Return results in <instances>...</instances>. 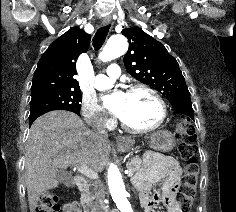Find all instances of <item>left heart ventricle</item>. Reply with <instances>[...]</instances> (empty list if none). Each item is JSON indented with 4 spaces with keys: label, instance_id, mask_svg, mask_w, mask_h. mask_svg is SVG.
<instances>
[{
    "label": "left heart ventricle",
    "instance_id": "1",
    "mask_svg": "<svg viewBox=\"0 0 236 212\" xmlns=\"http://www.w3.org/2000/svg\"><path fill=\"white\" fill-rule=\"evenodd\" d=\"M160 116V106L149 93L138 90L126 94L121 118L133 128H146L153 125Z\"/></svg>",
    "mask_w": 236,
    "mask_h": 212
}]
</instances>
